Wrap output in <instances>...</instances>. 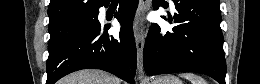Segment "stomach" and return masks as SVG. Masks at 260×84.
I'll return each mask as SVG.
<instances>
[{"label": "stomach", "instance_id": "0dacf381", "mask_svg": "<svg viewBox=\"0 0 260 84\" xmlns=\"http://www.w3.org/2000/svg\"><path fill=\"white\" fill-rule=\"evenodd\" d=\"M151 84H183V82L174 75H163L153 79Z\"/></svg>", "mask_w": 260, "mask_h": 84}]
</instances>
